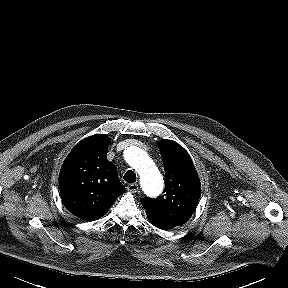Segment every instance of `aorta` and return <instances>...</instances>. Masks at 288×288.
I'll use <instances>...</instances> for the list:
<instances>
[{
  "label": "aorta",
  "mask_w": 288,
  "mask_h": 288,
  "mask_svg": "<svg viewBox=\"0 0 288 288\" xmlns=\"http://www.w3.org/2000/svg\"><path fill=\"white\" fill-rule=\"evenodd\" d=\"M125 159L138 172L144 191L151 196L159 195L163 189V177L146 152L130 146L125 151Z\"/></svg>",
  "instance_id": "aorta-1"
}]
</instances>
